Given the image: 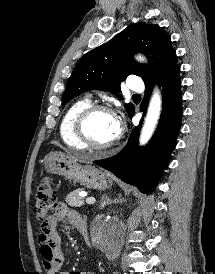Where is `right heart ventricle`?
I'll use <instances>...</instances> for the list:
<instances>
[{
	"label": "right heart ventricle",
	"instance_id": "right-heart-ventricle-1",
	"mask_svg": "<svg viewBox=\"0 0 215 274\" xmlns=\"http://www.w3.org/2000/svg\"><path fill=\"white\" fill-rule=\"evenodd\" d=\"M91 104L88 98H82L73 102L66 110L60 122V136L62 141L71 148L85 149L86 147L79 141L75 134L74 124L78 114Z\"/></svg>",
	"mask_w": 215,
	"mask_h": 274
}]
</instances>
